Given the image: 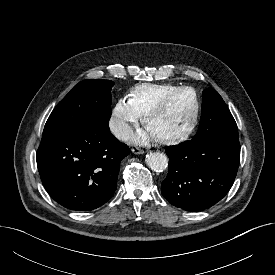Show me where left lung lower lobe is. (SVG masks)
Masks as SVG:
<instances>
[{"label": "left lung lower lobe", "mask_w": 275, "mask_h": 275, "mask_svg": "<svg viewBox=\"0 0 275 275\" xmlns=\"http://www.w3.org/2000/svg\"><path fill=\"white\" fill-rule=\"evenodd\" d=\"M168 175L162 195L191 212L219 202L230 190L240 162L239 139H197L166 148Z\"/></svg>", "instance_id": "obj_1"}]
</instances>
